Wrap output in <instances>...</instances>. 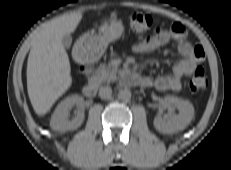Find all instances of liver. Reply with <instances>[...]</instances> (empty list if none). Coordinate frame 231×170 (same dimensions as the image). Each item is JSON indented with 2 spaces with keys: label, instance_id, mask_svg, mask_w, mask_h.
<instances>
[{
  "label": "liver",
  "instance_id": "liver-1",
  "mask_svg": "<svg viewBox=\"0 0 231 170\" xmlns=\"http://www.w3.org/2000/svg\"><path fill=\"white\" fill-rule=\"evenodd\" d=\"M81 19V13L60 16L33 37L27 63V91L38 115H45L72 85L70 61L62 38L74 32Z\"/></svg>",
  "mask_w": 231,
  "mask_h": 170
}]
</instances>
